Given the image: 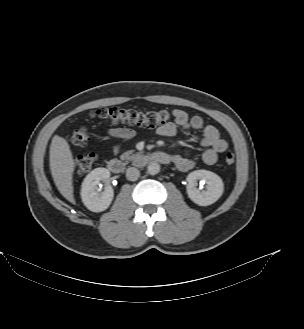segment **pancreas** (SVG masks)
Segmentation results:
<instances>
[{"mask_svg": "<svg viewBox=\"0 0 304 329\" xmlns=\"http://www.w3.org/2000/svg\"><path fill=\"white\" fill-rule=\"evenodd\" d=\"M133 150H130V151H126V152H124V153H122L121 155H120V158L122 159V160H126V161H129V160H133V159H135V157H139V156H141V154L140 153H137V154H133Z\"/></svg>", "mask_w": 304, "mask_h": 329, "instance_id": "obj_1", "label": "pancreas"}]
</instances>
